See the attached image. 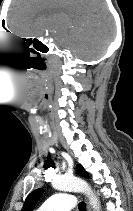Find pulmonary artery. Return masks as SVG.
Listing matches in <instances>:
<instances>
[{"instance_id": "obj_1", "label": "pulmonary artery", "mask_w": 133, "mask_h": 211, "mask_svg": "<svg viewBox=\"0 0 133 211\" xmlns=\"http://www.w3.org/2000/svg\"><path fill=\"white\" fill-rule=\"evenodd\" d=\"M75 206V197L68 193H57L48 198L36 211H68Z\"/></svg>"}]
</instances>
